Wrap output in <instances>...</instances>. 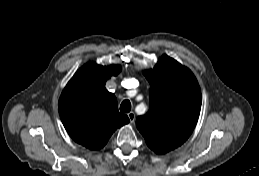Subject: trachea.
<instances>
[{"label":"trachea","mask_w":259,"mask_h":176,"mask_svg":"<svg viewBox=\"0 0 259 176\" xmlns=\"http://www.w3.org/2000/svg\"><path fill=\"white\" fill-rule=\"evenodd\" d=\"M121 112L128 113L131 110V103L129 100H124L120 105Z\"/></svg>","instance_id":"obj_1"}]
</instances>
